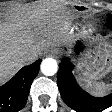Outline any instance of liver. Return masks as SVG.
Wrapping results in <instances>:
<instances>
[{"instance_id":"obj_1","label":"liver","mask_w":112,"mask_h":112,"mask_svg":"<svg viewBox=\"0 0 112 112\" xmlns=\"http://www.w3.org/2000/svg\"><path fill=\"white\" fill-rule=\"evenodd\" d=\"M71 14L63 4H31L22 7L10 23H0V84L25 63V52L37 54L64 43L60 25Z\"/></svg>"}]
</instances>
